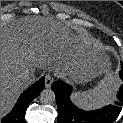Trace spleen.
I'll return each mask as SVG.
<instances>
[{"instance_id": "1", "label": "spleen", "mask_w": 123, "mask_h": 123, "mask_svg": "<svg viewBox=\"0 0 123 123\" xmlns=\"http://www.w3.org/2000/svg\"><path fill=\"white\" fill-rule=\"evenodd\" d=\"M120 81L113 72H108L93 89L76 92L72 95L73 102L86 110L97 109L112 102Z\"/></svg>"}]
</instances>
